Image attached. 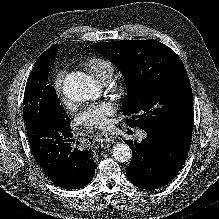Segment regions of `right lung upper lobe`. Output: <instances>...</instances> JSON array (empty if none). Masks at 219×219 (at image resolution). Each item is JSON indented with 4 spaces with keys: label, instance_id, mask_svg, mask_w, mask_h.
Here are the masks:
<instances>
[{
    "label": "right lung upper lobe",
    "instance_id": "obj_1",
    "mask_svg": "<svg viewBox=\"0 0 219 219\" xmlns=\"http://www.w3.org/2000/svg\"><path fill=\"white\" fill-rule=\"evenodd\" d=\"M55 46H58V45H53V46H52L51 48H49L48 50H51V49H53ZM48 50H47V51H48Z\"/></svg>",
    "mask_w": 219,
    "mask_h": 219
}]
</instances>
